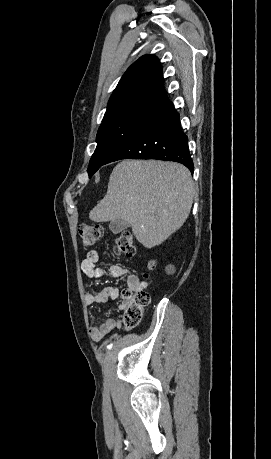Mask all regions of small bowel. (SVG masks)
<instances>
[{
  "mask_svg": "<svg viewBox=\"0 0 271 459\" xmlns=\"http://www.w3.org/2000/svg\"><path fill=\"white\" fill-rule=\"evenodd\" d=\"M99 257L100 254L93 250L90 251L82 261V270L89 278L108 276L110 278L118 279L126 276L127 286L130 290L140 291L146 287V282L142 281L136 273L120 265H112L107 270L98 268L97 263ZM119 296L120 290L118 288L107 286L98 291H87L85 293V301L87 304L107 303L110 300L119 298ZM114 329L121 331L128 330V328L122 323L121 319L109 318L100 326L91 328L90 335L94 341H99Z\"/></svg>",
  "mask_w": 271,
  "mask_h": 459,
  "instance_id": "c3829d8e",
  "label": "small bowel"
}]
</instances>
